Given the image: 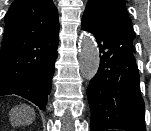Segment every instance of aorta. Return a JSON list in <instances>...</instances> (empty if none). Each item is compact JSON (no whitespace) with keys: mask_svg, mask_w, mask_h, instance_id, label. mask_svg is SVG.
<instances>
[{"mask_svg":"<svg viewBox=\"0 0 151 131\" xmlns=\"http://www.w3.org/2000/svg\"><path fill=\"white\" fill-rule=\"evenodd\" d=\"M80 70L83 77L91 80L96 75L99 64V50L88 34H84L79 43Z\"/></svg>","mask_w":151,"mask_h":131,"instance_id":"1","label":"aorta"}]
</instances>
